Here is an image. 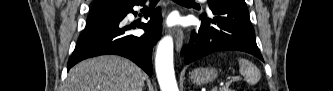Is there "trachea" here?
I'll return each mask as SVG.
<instances>
[{
	"label": "trachea",
	"instance_id": "1",
	"mask_svg": "<svg viewBox=\"0 0 333 91\" xmlns=\"http://www.w3.org/2000/svg\"><path fill=\"white\" fill-rule=\"evenodd\" d=\"M177 3H188V2H193L192 0H174Z\"/></svg>",
	"mask_w": 333,
	"mask_h": 91
}]
</instances>
